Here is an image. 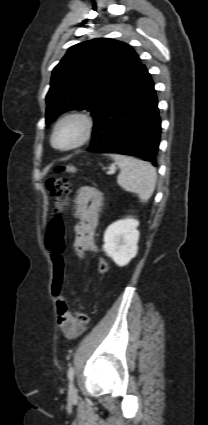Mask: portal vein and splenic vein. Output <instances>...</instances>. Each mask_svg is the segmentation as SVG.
<instances>
[{
  "instance_id": "18ae733b",
  "label": "portal vein and splenic vein",
  "mask_w": 208,
  "mask_h": 425,
  "mask_svg": "<svg viewBox=\"0 0 208 425\" xmlns=\"http://www.w3.org/2000/svg\"><path fill=\"white\" fill-rule=\"evenodd\" d=\"M114 173H115L114 169H111L110 171L107 172L108 175H112Z\"/></svg>"
}]
</instances>
